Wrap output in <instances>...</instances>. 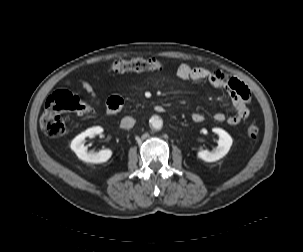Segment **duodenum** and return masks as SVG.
Listing matches in <instances>:
<instances>
[{
	"label": "duodenum",
	"mask_w": 303,
	"mask_h": 252,
	"mask_svg": "<svg viewBox=\"0 0 303 252\" xmlns=\"http://www.w3.org/2000/svg\"><path fill=\"white\" fill-rule=\"evenodd\" d=\"M123 107V100L121 98H116L112 103L108 106V114L113 115L119 112ZM154 109L156 112H163L164 107L162 105H155Z\"/></svg>",
	"instance_id": "1"
}]
</instances>
